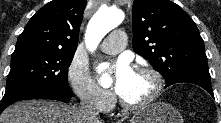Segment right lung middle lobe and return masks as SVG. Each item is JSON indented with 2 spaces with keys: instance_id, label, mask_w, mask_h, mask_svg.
<instances>
[{
  "instance_id": "right-lung-middle-lobe-1",
  "label": "right lung middle lobe",
  "mask_w": 221,
  "mask_h": 123,
  "mask_svg": "<svg viewBox=\"0 0 221 123\" xmlns=\"http://www.w3.org/2000/svg\"><path fill=\"white\" fill-rule=\"evenodd\" d=\"M74 52L42 49L14 51L2 103L16 95L34 97L51 89L70 90L68 68Z\"/></svg>"
}]
</instances>
